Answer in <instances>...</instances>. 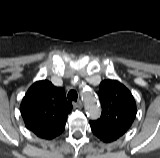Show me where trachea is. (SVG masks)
<instances>
[{
    "mask_svg": "<svg viewBox=\"0 0 160 158\" xmlns=\"http://www.w3.org/2000/svg\"><path fill=\"white\" fill-rule=\"evenodd\" d=\"M68 99L69 100H74V101H77V98H78V94L75 90H70L68 92V95H67Z\"/></svg>",
    "mask_w": 160,
    "mask_h": 158,
    "instance_id": "obj_1",
    "label": "trachea"
}]
</instances>
